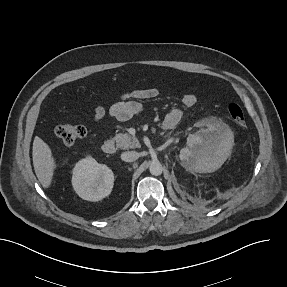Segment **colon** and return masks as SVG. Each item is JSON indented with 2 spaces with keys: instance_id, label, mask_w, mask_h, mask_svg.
I'll use <instances>...</instances> for the list:
<instances>
[{
  "instance_id": "1",
  "label": "colon",
  "mask_w": 287,
  "mask_h": 287,
  "mask_svg": "<svg viewBox=\"0 0 287 287\" xmlns=\"http://www.w3.org/2000/svg\"><path fill=\"white\" fill-rule=\"evenodd\" d=\"M228 114L233 122L240 126L245 125V116L242 107L237 103L228 105ZM55 135L67 145H72L86 135V128L80 124H61L55 128Z\"/></svg>"
}]
</instances>
